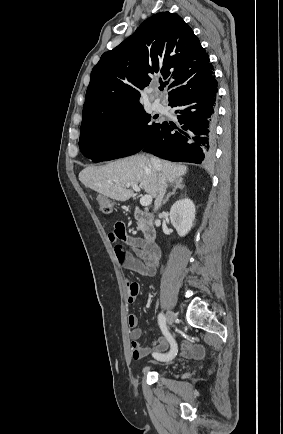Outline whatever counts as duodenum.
Listing matches in <instances>:
<instances>
[{
    "label": "duodenum",
    "mask_w": 283,
    "mask_h": 434,
    "mask_svg": "<svg viewBox=\"0 0 283 434\" xmlns=\"http://www.w3.org/2000/svg\"><path fill=\"white\" fill-rule=\"evenodd\" d=\"M134 217L141 224L145 243L152 249L160 251L155 243L157 233L153 215L147 211L135 207Z\"/></svg>",
    "instance_id": "obj_1"
}]
</instances>
